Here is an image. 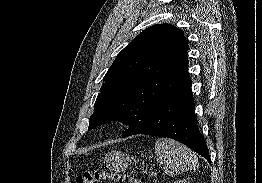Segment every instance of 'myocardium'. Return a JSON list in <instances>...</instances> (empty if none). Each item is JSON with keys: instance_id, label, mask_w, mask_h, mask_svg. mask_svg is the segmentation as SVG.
<instances>
[{"instance_id": "f54148a6", "label": "myocardium", "mask_w": 262, "mask_h": 183, "mask_svg": "<svg viewBox=\"0 0 262 183\" xmlns=\"http://www.w3.org/2000/svg\"><path fill=\"white\" fill-rule=\"evenodd\" d=\"M115 124H116V123H115L114 121H110V122H109V126H110V127H113Z\"/></svg>"}]
</instances>
